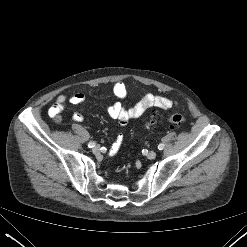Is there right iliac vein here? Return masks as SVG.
Masks as SVG:
<instances>
[{
    "label": "right iliac vein",
    "instance_id": "63e3f726",
    "mask_svg": "<svg viewBox=\"0 0 247 247\" xmlns=\"http://www.w3.org/2000/svg\"><path fill=\"white\" fill-rule=\"evenodd\" d=\"M92 152H93L94 154L99 153V152H100V146H95V147L92 149Z\"/></svg>",
    "mask_w": 247,
    "mask_h": 247
}]
</instances>
